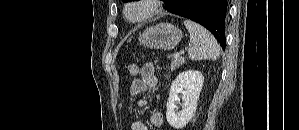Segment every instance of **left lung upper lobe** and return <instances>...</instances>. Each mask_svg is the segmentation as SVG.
<instances>
[{"label": "left lung upper lobe", "mask_w": 299, "mask_h": 130, "mask_svg": "<svg viewBox=\"0 0 299 130\" xmlns=\"http://www.w3.org/2000/svg\"><path fill=\"white\" fill-rule=\"evenodd\" d=\"M125 2H129V1H131V0H124ZM165 2L167 1V0H164Z\"/></svg>", "instance_id": "5c2ea615"}]
</instances>
